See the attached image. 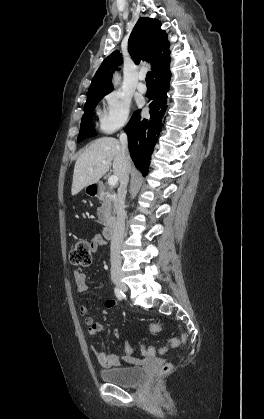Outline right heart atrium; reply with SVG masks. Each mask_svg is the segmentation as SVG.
Segmentation results:
<instances>
[{"mask_svg": "<svg viewBox=\"0 0 264 419\" xmlns=\"http://www.w3.org/2000/svg\"><path fill=\"white\" fill-rule=\"evenodd\" d=\"M105 109L99 115L100 129L107 134L127 125L131 101L121 92H111L105 97Z\"/></svg>", "mask_w": 264, "mask_h": 419, "instance_id": "1", "label": "right heart atrium"}]
</instances>
